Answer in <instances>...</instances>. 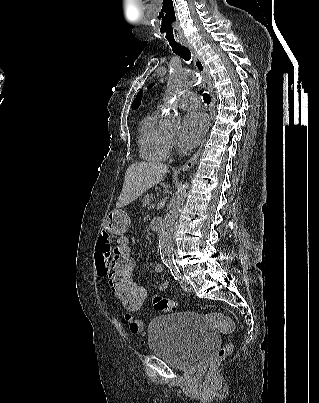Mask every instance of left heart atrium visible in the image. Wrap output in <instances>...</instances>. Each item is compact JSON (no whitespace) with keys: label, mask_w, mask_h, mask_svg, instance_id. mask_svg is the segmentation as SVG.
<instances>
[{"label":"left heart atrium","mask_w":319,"mask_h":403,"mask_svg":"<svg viewBox=\"0 0 319 403\" xmlns=\"http://www.w3.org/2000/svg\"><path fill=\"white\" fill-rule=\"evenodd\" d=\"M208 125L206 116L190 112L184 118L179 133V141L186 148L195 147L204 135Z\"/></svg>","instance_id":"1"}]
</instances>
